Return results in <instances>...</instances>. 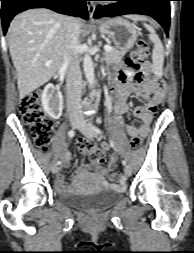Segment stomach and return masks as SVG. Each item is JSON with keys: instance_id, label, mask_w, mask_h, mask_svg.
Masks as SVG:
<instances>
[{"instance_id": "1", "label": "stomach", "mask_w": 194, "mask_h": 253, "mask_svg": "<svg viewBox=\"0 0 194 253\" xmlns=\"http://www.w3.org/2000/svg\"><path fill=\"white\" fill-rule=\"evenodd\" d=\"M99 31L106 35L117 49L124 52L133 48L138 36L135 27L120 17L101 22Z\"/></svg>"}]
</instances>
